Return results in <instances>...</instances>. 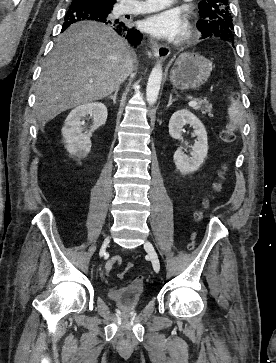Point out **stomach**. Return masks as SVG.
<instances>
[{"mask_svg": "<svg viewBox=\"0 0 276 363\" xmlns=\"http://www.w3.org/2000/svg\"><path fill=\"white\" fill-rule=\"evenodd\" d=\"M212 71V63L196 53H181L170 71V82L179 90H194L201 87Z\"/></svg>", "mask_w": 276, "mask_h": 363, "instance_id": "1", "label": "stomach"}]
</instances>
